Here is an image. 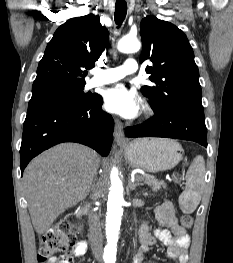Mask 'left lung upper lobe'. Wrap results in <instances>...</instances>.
<instances>
[{"mask_svg": "<svg viewBox=\"0 0 233 263\" xmlns=\"http://www.w3.org/2000/svg\"><path fill=\"white\" fill-rule=\"evenodd\" d=\"M140 34L143 42L140 62L153 63L146 72L156 84L143 86L141 91L150 100L154 113L179 105L203 107L198 67L184 32L169 22L147 16L141 21Z\"/></svg>", "mask_w": 233, "mask_h": 263, "instance_id": "5c2ea615", "label": "left lung upper lobe"}]
</instances>
